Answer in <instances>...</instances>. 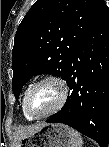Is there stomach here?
I'll list each match as a JSON object with an SVG mask.
<instances>
[{"label": "stomach", "instance_id": "0dacf381", "mask_svg": "<svg viewBox=\"0 0 109 147\" xmlns=\"http://www.w3.org/2000/svg\"><path fill=\"white\" fill-rule=\"evenodd\" d=\"M72 129L63 124H46L24 137L20 147H72Z\"/></svg>", "mask_w": 109, "mask_h": 147}]
</instances>
